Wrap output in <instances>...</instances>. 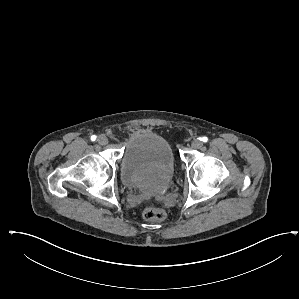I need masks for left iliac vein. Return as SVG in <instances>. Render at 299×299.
<instances>
[{
    "mask_svg": "<svg viewBox=\"0 0 299 299\" xmlns=\"http://www.w3.org/2000/svg\"><path fill=\"white\" fill-rule=\"evenodd\" d=\"M192 148L194 149H200L202 146H203V143L198 140V139H195L192 144H191Z\"/></svg>",
    "mask_w": 299,
    "mask_h": 299,
    "instance_id": "obj_1",
    "label": "left iliac vein"
}]
</instances>
